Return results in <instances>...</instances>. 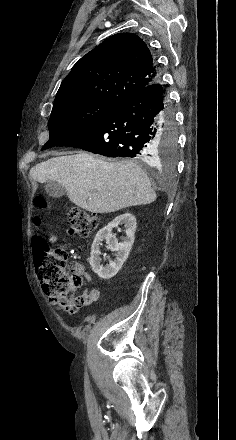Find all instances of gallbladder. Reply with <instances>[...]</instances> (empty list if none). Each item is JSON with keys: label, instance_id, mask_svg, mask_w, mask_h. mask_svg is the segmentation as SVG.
I'll list each match as a JSON object with an SVG mask.
<instances>
[{"label": "gallbladder", "instance_id": "1", "mask_svg": "<svg viewBox=\"0 0 236 440\" xmlns=\"http://www.w3.org/2000/svg\"><path fill=\"white\" fill-rule=\"evenodd\" d=\"M45 190L49 196L53 198H60L65 195V187L58 182L48 181L45 185Z\"/></svg>", "mask_w": 236, "mask_h": 440}]
</instances>
